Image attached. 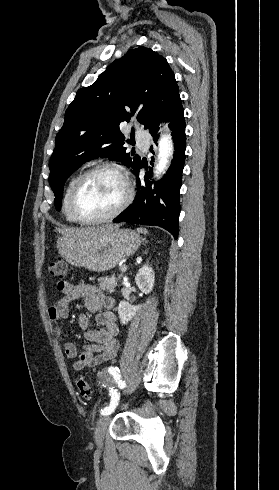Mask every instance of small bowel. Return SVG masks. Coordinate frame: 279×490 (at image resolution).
Returning a JSON list of instances; mask_svg holds the SVG:
<instances>
[{"label":"small bowel","mask_w":279,"mask_h":490,"mask_svg":"<svg viewBox=\"0 0 279 490\" xmlns=\"http://www.w3.org/2000/svg\"><path fill=\"white\" fill-rule=\"evenodd\" d=\"M58 289L63 295L48 309V317L57 336L64 338L59 322L68 317L69 306L75 300H81L86 310L95 315L97 324V327L92 328L90 316L87 313L79 315V326L89 340L81 353H78L72 342L65 340L64 351L67 358L72 360L73 369L79 371L115 358L119 349V324L112 311L114 299L85 282L74 285L62 280L58 282Z\"/></svg>","instance_id":"small-bowel-1"}]
</instances>
